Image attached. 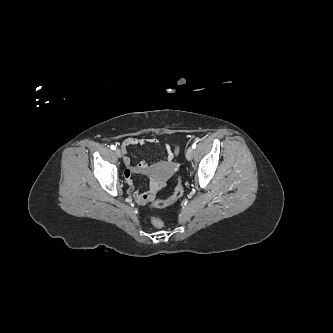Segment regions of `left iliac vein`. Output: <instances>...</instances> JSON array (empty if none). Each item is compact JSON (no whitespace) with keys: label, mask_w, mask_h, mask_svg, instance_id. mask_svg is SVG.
I'll list each match as a JSON object with an SVG mask.
<instances>
[{"label":"left iliac vein","mask_w":333,"mask_h":333,"mask_svg":"<svg viewBox=\"0 0 333 333\" xmlns=\"http://www.w3.org/2000/svg\"><path fill=\"white\" fill-rule=\"evenodd\" d=\"M193 157V148L192 147H189L186 151V158L188 160H191Z\"/></svg>","instance_id":"left-iliac-vein-1"}]
</instances>
